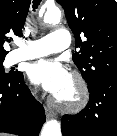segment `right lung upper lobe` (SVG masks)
<instances>
[{
    "label": "right lung upper lobe",
    "instance_id": "1",
    "mask_svg": "<svg viewBox=\"0 0 117 136\" xmlns=\"http://www.w3.org/2000/svg\"><path fill=\"white\" fill-rule=\"evenodd\" d=\"M31 0H0V58L8 53L3 48L5 41L10 42L9 35L22 36Z\"/></svg>",
    "mask_w": 117,
    "mask_h": 136
}]
</instances>
